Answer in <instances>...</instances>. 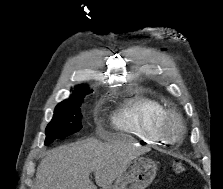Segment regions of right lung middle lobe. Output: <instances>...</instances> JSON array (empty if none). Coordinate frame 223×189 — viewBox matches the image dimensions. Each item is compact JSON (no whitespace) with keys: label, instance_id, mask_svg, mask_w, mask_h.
<instances>
[{"label":"right lung middle lobe","instance_id":"1","mask_svg":"<svg viewBox=\"0 0 223 189\" xmlns=\"http://www.w3.org/2000/svg\"><path fill=\"white\" fill-rule=\"evenodd\" d=\"M90 92L73 95L56 106L53 119L46 128L45 145L74 134L82 128L81 105L84 97Z\"/></svg>","mask_w":223,"mask_h":189}]
</instances>
